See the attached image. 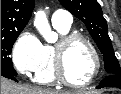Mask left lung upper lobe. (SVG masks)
<instances>
[{"label":"left lung upper lobe","mask_w":121,"mask_h":94,"mask_svg":"<svg viewBox=\"0 0 121 94\" xmlns=\"http://www.w3.org/2000/svg\"><path fill=\"white\" fill-rule=\"evenodd\" d=\"M59 2L85 23L103 54L105 70L111 75H121V68L108 36L107 22L97 0H59Z\"/></svg>","instance_id":"1"}]
</instances>
